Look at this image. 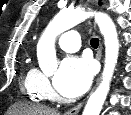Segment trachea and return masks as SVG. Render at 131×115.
<instances>
[{"label": "trachea", "instance_id": "obj_1", "mask_svg": "<svg viewBox=\"0 0 131 115\" xmlns=\"http://www.w3.org/2000/svg\"><path fill=\"white\" fill-rule=\"evenodd\" d=\"M90 44H91V46H92L93 48H97L98 45H99V39H98V38H92V39L90 40Z\"/></svg>", "mask_w": 131, "mask_h": 115}]
</instances>
